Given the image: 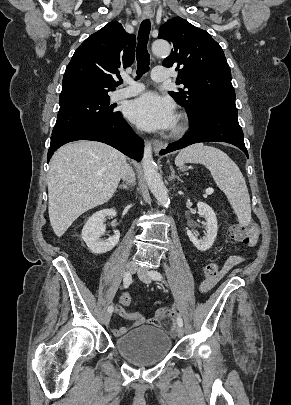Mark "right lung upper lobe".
Wrapping results in <instances>:
<instances>
[{"instance_id": "cb5924a9", "label": "right lung upper lobe", "mask_w": 291, "mask_h": 405, "mask_svg": "<svg viewBox=\"0 0 291 405\" xmlns=\"http://www.w3.org/2000/svg\"><path fill=\"white\" fill-rule=\"evenodd\" d=\"M136 37L112 21L89 36L66 67L59 101L99 98L115 90L118 68L129 67L135 58Z\"/></svg>"}]
</instances>
